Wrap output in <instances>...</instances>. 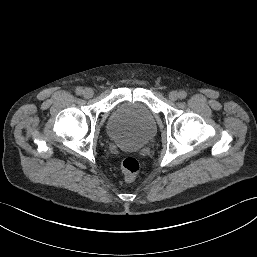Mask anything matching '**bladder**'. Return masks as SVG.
I'll return each mask as SVG.
<instances>
[{
    "label": "bladder",
    "instance_id": "1",
    "mask_svg": "<svg viewBox=\"0 0 257 257\" xmlns=\"http://www.w3.org/2000/svg\"><path fill=\"white\" fill-rule=\"evenodd\" d=\"M107 134L119 147L139 149L151 142L157 133L155 118L142 103L121 104L108 119Z\"/></svg>",
    "mask_w": 257,
    "mask_h": 257
}]
</instances>
